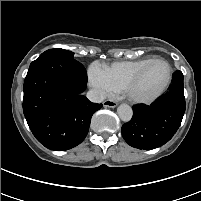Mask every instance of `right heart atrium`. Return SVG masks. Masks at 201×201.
I'll use <instances>...</instances> for the list:
<instances>
[{
    "instance_id": "obj_1",
    "label": "right heart atrium",
    "mask_w": 201,
    "mask_h": 201,
    "mask_svg": "<svg viewBox=\"0 0 201 201\" xmlns=\"http://www.w3.org/2000/svg\"><path fill=\"white\" fill-rule=\"evenodd\" d=\"M89 84L99 98L112 96L116 93L106 71L99 64H92L88 70Z\"/></svg>"
}]
</instances>
